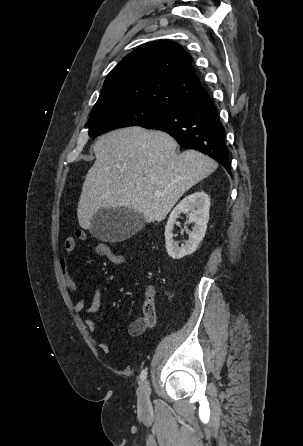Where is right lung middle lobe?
Wrapping results in <instances>:
<instances>
[{"label": "right lung middle lobe", "instance_id": "1", "mask_svg": "<svg viewBox=\"0 0 303 446\" xmlns=\"http://www.w3.org/2000/svg\"><path fill=\"white\" fill-rule=\"evenodd\" d=\"M164 112L143 104H109L93 108L89 136L95 138L114 129L140 126Z\"/></svg>", "mask_w": 303, "mask_h": 446}]
</instances>
